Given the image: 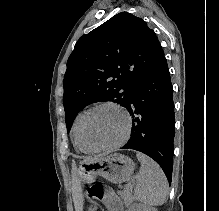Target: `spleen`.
I'll use <instances>...</instances> for the list:
<instances>
[{
  "mask_svg": "<svg viewBox=\"0 0 219 211\" xmlns=\"http://www.w3.org/2000/svg\"><path fill=\"white\" fill-rule=\"evenodd\" d=\"M137 159L141 161V169L135 177V199L145 205H162L168 191V181L163 169L144 153H137Z\"/></svg>",
  "mask_w": 219,
  "mask_h": 211,
  "instance_id": "spleen-1",
  "label": "spleen"
}]
</instances>
